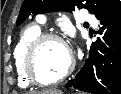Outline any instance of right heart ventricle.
<instances>
[{"mask_svg": "<svg viewBox=\"0 0 121 94\" xmlns=\"http://www.w3.org/2000/svg\"><path fill=\"white\" fill-rule=\"evenodd\" d=\"M41 32V27L37 24L27 26L22 31L14 48V64L17 73L18 84L22 88H28L31 86V83L28 81L23 68V58L26 48L35 37L41 34Z\"/></svg>", "mask_w": 121, "mask_h": 94, "instance_id": "1", "label": "right heart ventricle"}]
</instances>
